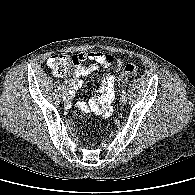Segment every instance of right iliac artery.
Segmentation results:
<instances>
[{"label":"right iliac artery","instance_id":"obj_1","mask_svg":"<svg viewBox=\"0 0 195 195\" xmlns=\"http://www.w3.org/2000/svg\"><path fill=\"white\" fill-rule=\"evenodd\" d=\"M63 89H65V90H66V87H65V86H63Z\"/></svg>","mask_w":195,"mask_h":195}]
</instances>
